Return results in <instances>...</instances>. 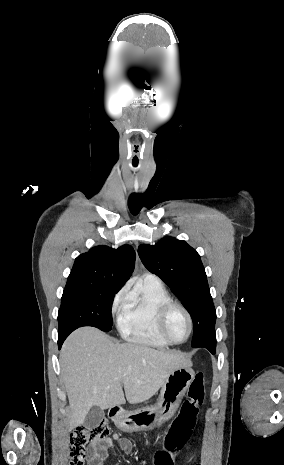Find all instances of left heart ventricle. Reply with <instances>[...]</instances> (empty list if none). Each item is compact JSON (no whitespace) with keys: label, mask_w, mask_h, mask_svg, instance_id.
Here are the masks:
<instances>
[{"label":"left heart ventricle","mask_w":284,"mask_h":465,"mask_svg":"<svg viewBox=\"0 0 284 465\" xmlns=\"http://www.w3.org/2000/svg\"><path fill=\"white\" fill-rule=\"evenodd\" d=\"M188 320L184 312L175 309L171 312L166 323V332L174 341H182L188 334Z\"/></svg>","instance_id":"b2bd125f"}]
</instances>
